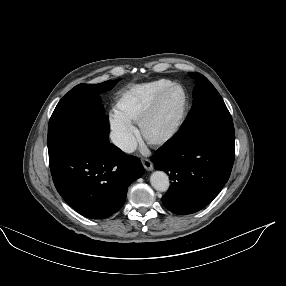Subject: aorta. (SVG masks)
Returning <instances> with one entry per match:
<instances>
[{"label": "aorta", "mask_w": 286, "mask_h": 286, "mask_svg": "<svg viewBox=\"0 0 286 286\" xmlns=\"http://www.w3.org/2000/svg\"><path fill=\"white\" fill-rule=\"evenodd\" d=\"M150 182L152 187L159 192L167 191L170 185L168 175L162 171L153 172L150 177Z\"/></svg>", "instance_id": "762f6f07"}]
</instances>
